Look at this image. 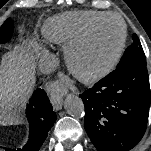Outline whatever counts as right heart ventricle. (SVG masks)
<instances>
[{
  "instance_id": "1",
  "label": "right heart ventricle",
  "mask_w": 151,
  "mask_h": 151,
  "mask_svg": "<svg viewBox=\"0 0 151 151\" xmlns=\"http://www.w3.org/2000/svg\"><path fill=\"white\" fill-rule=\"evenodd\" d=\"M107 13L96 10L71 11L50 18L43 26L45 38L56 44L76 40L99 17Z\"/></svg>"
}]
</instances>
